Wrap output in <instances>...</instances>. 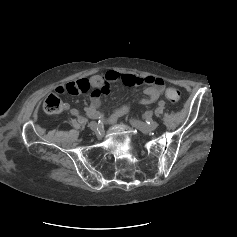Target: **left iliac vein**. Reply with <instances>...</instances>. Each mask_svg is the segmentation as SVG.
<instances>
[{
	"instance_id": "obj_1",
	"label": "left iliac vein",
	"mask_w": 237,
	"mask_h": 237,
	"mask_svg": "<svg viewBox=\"0 0 237 237\" xmlns=\"http://www.w3.org/2000/svg\"><path fill=\"white\" fill-rule=\"evenodd\" d=\"M130 122L132 125H134L143 132L154 131L159 125L156 121H151L149 124H145L139 120L131 119Z\"/></svg>"
}]
</instances>
